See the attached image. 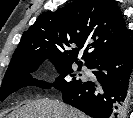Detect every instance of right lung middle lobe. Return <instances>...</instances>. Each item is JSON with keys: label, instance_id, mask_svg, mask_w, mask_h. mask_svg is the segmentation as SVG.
Here are the masks:
<instances>
[{"label": "right lung middle lobe", "instance_id": "dd1d6c3e", "mask_svg": "<svg viewBox=\"0 0 133 118\" xmlns=\"http://www.w3.org/2000/svg\"><path fill=\"white\" fill-rule=\"evenodd\" d=\"M44 61L45 60H39L20 67L7 69L1 85V101H3L11 93L29 85L38 86L44 89H48L53 86L57 90L64 91L84 83V81L78 79V75L73 74L74 70L72 69V62L59 59H51L60 74L54 83H48L43 80L33 78L31 73L36 71ZM77 64L79 65L78 70H80L81 63ZM70 76L73 78L70 79ZM79 76H81V74H79Z\"/></svg>", "mask_w": 133, "mask_h": 118}]
</instances>
